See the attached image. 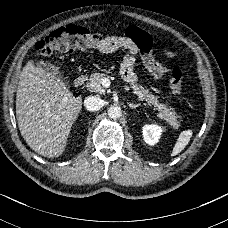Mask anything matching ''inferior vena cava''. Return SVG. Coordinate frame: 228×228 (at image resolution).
Wrapping results in <instances>:
<instances>
[{
  "instance_id": "inferior-vena-cava-1",
  "label": "inferior vena cava",
  "mask_w": 228,
  "mask_h": 228,
  "mask_svg": "<svg viewBox=\"0 0 228 228\" xmlns=\"http://www.w3.org/2000/svg\"><path fill=\"white\" fill-rule=\"evenodd\" d=\"M102 105L103 101L99 96H88L84 100V107L90 112L98 111L99 109H101Z\"/></svg>"
}]
</instances>
